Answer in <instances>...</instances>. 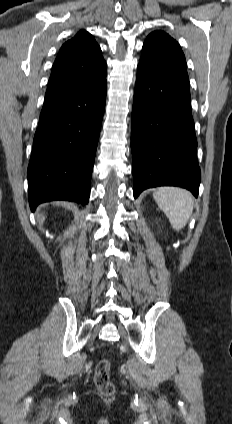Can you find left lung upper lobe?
Here are the masks:
<instances>
[{
    "label": "left lung upper lobe",
    "mask_w": 232,
    "mask_h": 424,
    "mask_svg": "<svg viewBox=\"0 0 232 424\" xmlns=\"http://www.w3.org/2000/svg\"><path fill=\"white\" fill-rule=\"evenodd\" d=\"M138 66L151 70L187 68L179 44L163 31H154L148 35Z\"/></svg>",
    "instance_id": "obj_1"
}]
</instances>
